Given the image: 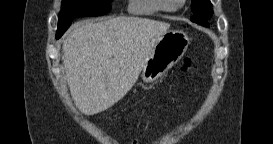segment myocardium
<instances>
[{
    "instance_id": "obj_1",
    "label": "myocardium",
    "mask_w": 273,
    "mask_h": 144,
    "mask_svg": "<svg viewBox=\"0 0 273 144\" xmlns=\"http://www.w3.org/2000/svg\"><path fill=\"white\" fill-rule=\"evenodd\" d=\"M157 6L162 11L172 12L176 11V7H169L167 5V0H156ZM179 3L183 4L184 0H179Z\"/></svg>"
}]
</instances>
